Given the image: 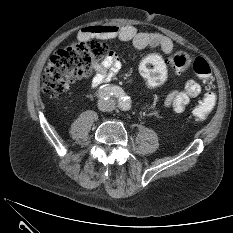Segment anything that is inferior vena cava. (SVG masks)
<instances>
[{"label":"inferior vena cava","instance_id":"obj_1","mask_svg":"<svg viewBox=\"0 0 233 233\" xmlns=\"http://www.w3.org/2000/svg\"><path fill=\"white\" fill-rule=\"evenodd\" d=\"M101 108L103 111H112L115 108V101L113 99L103 100L101 102Z\"/></svg>","mask_w":233,"mask_h":233}]
</instances>
